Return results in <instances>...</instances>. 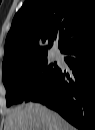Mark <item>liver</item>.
Returning <instances> with one entry per match:
<instances>
[{
  "label": "liver",
  "instance_id": "liver-1",
  "mask_svg": "<svg viewBox=\"0 0 95 130\" xmlns=\"http://www.w3.org/2000/svg\"><path fill=\"white\" fill-rule=\"evenodd\" d=\"M57 112L38 103L13 108L5 130H73Z\"/></svg>",
  "mask_w": 95,
  "mask_h": 130
}]
</instances>
